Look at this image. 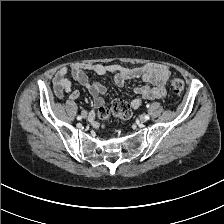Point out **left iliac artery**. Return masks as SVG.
<instances>
[{
	"instance_id": "44dca946",
	"label": "left iliac artery",
	"mask_w": 224,
	"mask_h": 224,
	"mask_svg": "<svg viewBox=\"0 0 224 224\" xmlns=\"http://www.w3.org/2000/svg\"><path fill=\"white\" fill-rule=\"evenodd\" d=\"M145 118H146V120H149L150 117H149V115H145Z\"/></svg>"
}]
</instances>
